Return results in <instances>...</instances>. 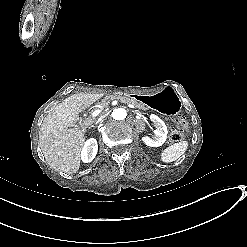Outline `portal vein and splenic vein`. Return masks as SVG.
Masks as SVG:
<instances>
[{"instance_id":"obj_1","label":"portal vein and splenic vein","mask_w":247,"mask_h":247,"mask_svg":"<svg viewBox=\"0 0 247 247\" xmlns=\"http://www.w3.org/2000/svg\"><path fill=\"white\" fill-rule=\"evenodd\" d=\"M125 106H128L130 108H134V105L130 103H125ZM104 112V109L102 107L96 108L93 112H90V117H97L101 115Z\"/></svg>"}]
</instances>
